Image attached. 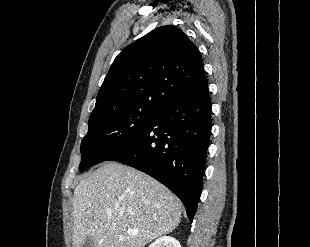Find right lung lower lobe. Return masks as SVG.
<instances>
[{
    "instance_id": "obj_1",
    "label": "right lung lower lobe",
    "mask_w": 310,
    "mask_h": 247,
    "mask_svg": "<svg viewBox=\"0 0 310 247\" xmlns=\"http://www.w3.org/2000/svg\"><path fill=\"white\" fill-rule=\"evenodd\" d=\"M208 84L159 108L139 134L107 161L136 168L169 188L192 222L202 190L211 134Z\"/></svg>"
}]
</instances>
